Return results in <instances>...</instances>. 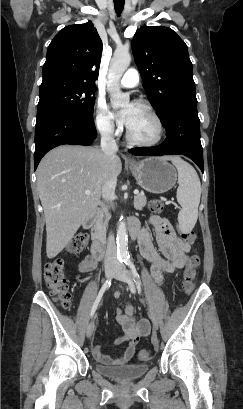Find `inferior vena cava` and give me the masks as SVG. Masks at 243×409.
<instances>
[{"mask_svg":"<svg viewBox=\"0 0 243 409\" xmlns=\"http://www.w3.org/2000/svg\"><path fill=\"white\" fill-rule=\"evenodd\" d=\"M101 151L108 157L113 158L118 151L117 143L113 137V129L111 127H107L102 130L101 132ZM116 181L115 177H110L104 184L102 188V197L107 202L112 201L115 198V188H116ZM117 262V253H116V243L114 235L111 233L109 234L106 253H105V264H116Z\"/></svg>","mask_w":243,"mask_h":409,"instance_id":"obj_1","label":"inferior vena cava"}]
</instances>
